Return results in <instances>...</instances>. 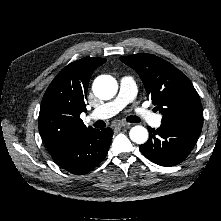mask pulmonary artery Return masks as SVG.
<instances>
[{"label":"pulmonary artery","mask_w":221,"mask_h":221,"mask_svg":"<svg viewBox=\"0 0 221 221\" xmlns=\"http://www.w3.org/2000/svg\"><path fill=\"white\" fill-rule=\"evenodd\" d=\"M136 97V84L132 77L125 76L120 80L119 93L115 99L95 109L88 119H106L121 111L126 105L133 102ZM137 117L153 127L161 124V115L154 114L150 110L138 107L135 109Z\"/></svg>","instance_id":"pulmonary-artery-1"}]
</instances>
